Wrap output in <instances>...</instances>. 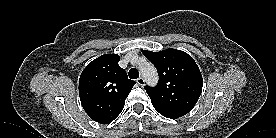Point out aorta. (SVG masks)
<instances>
[{"label": "aorta", "instance_id": "aorta-1", "mask_svg": "<svg viewBox=\"0 0 276 138\" xmlns=\"http://www.w3.org/2000/svg\"><path fill=\"white\" fill-rule=\"evenodd\" d=\"M140 71L145 79V81L151 85H156L158 81V74L155 66L150 62H145L140 66Z\"/></svg>", "mask_w": 276, "mask_h": 138}]
</instances>
